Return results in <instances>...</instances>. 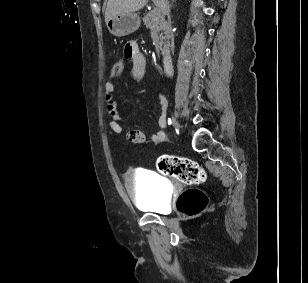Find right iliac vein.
I'll list each match as a JSON object with an SVG mask.
<instances>
[{
  "label": "right iliac vein",
  "instance_id": "obj_1",
  "mask_svg": "<svg viewBox=\"0 0 308 283\" xmlns=\"http://www.w3.org/2000/svg\"><path fill=\"white\" fill-rule=\"evenodd\" d=\"M172 121H173V126H174L175 128H179L178 121L175 119V117H172Z\"/></svg>",
  "mask_w": 308,
  "mask_h": 283
}]
</instances>
